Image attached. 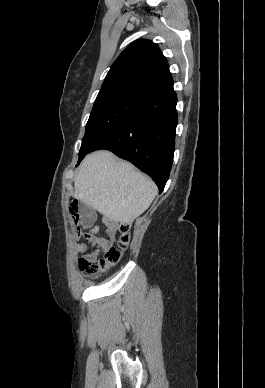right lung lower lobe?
<instances>
[{
  "mask_svg": "<svg viewBox=\"0 0 265 388\" xmlns=\"http://www.w3.org/2000/svg\"><path fill=\"white\" fill-rule=\"evenodd\" d=\"M176 103L173 88L149 98L132 116L99 140L90 152L107 149L130 161L153 178L161 193L173 162L178 121Z\"/></svg>",
  "mask_w": 265,
  "mask_h": 388,
  "instance_id": "1",
  "label": "right lung lower lobe"
}]
</instances>
